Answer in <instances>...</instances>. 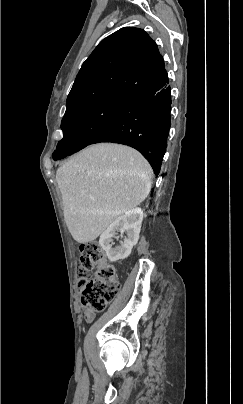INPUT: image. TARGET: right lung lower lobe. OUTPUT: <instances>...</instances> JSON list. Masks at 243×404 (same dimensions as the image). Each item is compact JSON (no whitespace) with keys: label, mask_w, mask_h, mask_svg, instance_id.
Masks as SVG:
<instances>
[{"label":"right lung lower lobe","mask_w":243,"mask_h":404,"mask_svg":"<svg viewBox=\"0 0 243 404\" xmlns=\"http://www.w3.org/2000/svg\"><path fill=\"white\" fill-rule=\"evenodd\" d=\"M167 80L153 89L128 99L95 136L91 144L114 142L137 149L150 163L156 176L166 152L171 121V93Z\"/></svg>","instance_id":"98d812e1"}]
</instances>
